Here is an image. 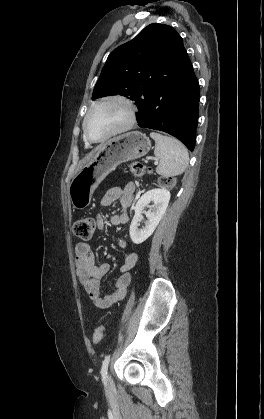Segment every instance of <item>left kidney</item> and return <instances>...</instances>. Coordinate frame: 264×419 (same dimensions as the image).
Listing matches in <instances>:
<instances>
[{
	"label": "left kidney",
	"mask_w": 264,
	"mask_h": 419,
	"mask_svg": "<svg viewBox=\"0 0 264 419\" xmlns=\"http://www.w3.org/2000/svg\"><path fill=\"white\" fill-rule=\"evenodd\" d=\"M170 200V192L164 188H157L147 191L141 196L135 205V215L130 225V237L133 243L140 244L148 239L156 229L160 220L166 212ZM153 202L150 210L146 212L147 222L142 229H139V218L143 209Z\"/></svg>",
	"instance_id": "left-kidney-1"
}]
</instances>
